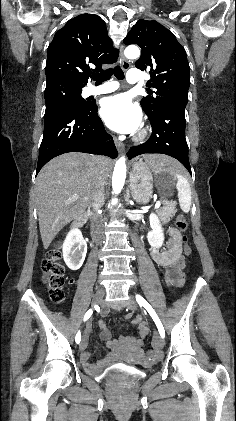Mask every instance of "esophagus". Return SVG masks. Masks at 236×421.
I'll use <instances>...</instances> for the list:
<instances>
[{
  "label": "esophagus",
  "instance_id": "esophagus-1",
  "mask_svg": "<svg viewBox=\"0 0 236 421\" xmlns=\"http://www.w3.org/2000/svg\"><path fill=\"white\" fill-rule=\"evenodd\" d=\"M119 60L122 64V68L123 70H128V68L130 67V64L128 62V60L125 58L124 56V52H123V45H121L120 48V52H119ZM115 146L117 147V149L119 150V152H123L124 151V144L119 141L117 138H115Z\"/></svg>",
  "mask_w": 236,
  "mask_h": 421
}]
</instances>
